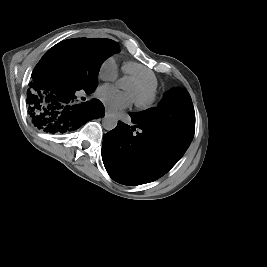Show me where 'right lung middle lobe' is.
<instances>
[{
	"label": "right lung middle lobe",
	"instance_id": "dd1d6c3e",
	"mask_svg": "<svg viewBox=\"0 0 267 267\" xmlns=\"http://www.w3.org/2000/svg\"><path fill=\"white\" fill-rule=\"evenodd\" d=\"M119 51L118 43L110 39H68L49 49L34 71L43 66L63 76L77 90L94 91L101 64Z\"/></svg>",
	"mask_w": 267,
	"mask_h": 267
}]
</instances>
